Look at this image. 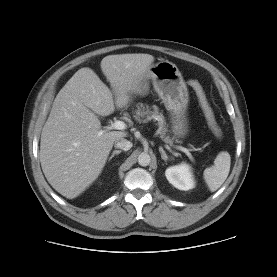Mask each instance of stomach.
Instances as JSON below:
<instances>
[{
  "mask_svg": "<svg viewBox=\"0 0 277 277\" xmlns=\"http://www.w3.org/2000/svg\"><path fill=\"white\" fill-rule=\"evenodd\" d=\"M149 81L152 82L155 91L170 112L172 132L177 137L184 136L188 130L186 111L189 98L181 72L174 63L161 60L150 66L132 93L146 95L149 91Z\"/></svg>",
  "mask_w": 277,
  "mask_h": 277,
  "instance_id": "0dacf381",
  "label": "stomach"
}]
</instances>
